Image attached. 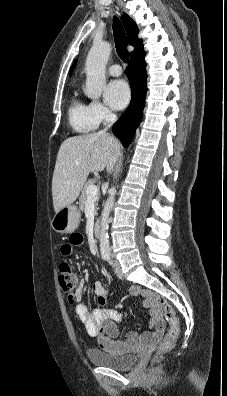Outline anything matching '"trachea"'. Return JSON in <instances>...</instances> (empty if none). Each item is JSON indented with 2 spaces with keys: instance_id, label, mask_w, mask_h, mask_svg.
<instances>
[{
  "instance_id": "3493384b",
  "label": "trachea",
  "mask_w": 227,
  "mask_h": 396,
  "mask_svg": "<svg viewBox=\"0 0 227 396\" xmlns=\"http://www.w3.org/2000/svg\"><path fill=\"white\" fill-rule=\"evenodd\" d=\"M113 34L118 56L124 63H128L129 53L127 50L126 34L121 22L117 17L113 18Z\"/></svg>"
}]
</instances>
